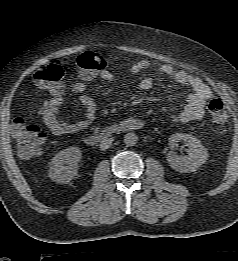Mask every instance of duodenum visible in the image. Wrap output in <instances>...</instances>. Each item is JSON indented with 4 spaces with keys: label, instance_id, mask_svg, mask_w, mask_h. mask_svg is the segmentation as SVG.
Returning <instances> with one entry per match:
<instances>
[{
    "label": "duodenum",
    "instance_id": "1",
    "mask_svg": "<svg viewBox=\"0 0 238 261\" xmlns=\"http://www.w3.org/2000/svg\"><path fill=\"white\" fill-rule=\"evenodd\" d=\"M135 128H136L135 124L131 123V122H121L118 124H112V125L104 127L100 131L87 135L84 138V142L87 145L95 146V145L109 139L110 137H112L113 135H115L117 133L130 131Z\"/></svg>",
    "mask_w": 238,
    "mask_h": 261
}]
</instances>
